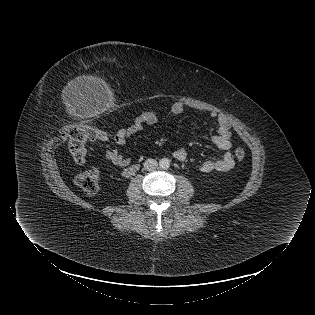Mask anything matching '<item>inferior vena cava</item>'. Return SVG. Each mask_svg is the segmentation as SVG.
<instances>
[{
  "label": "inferior vena cava",
  "mask_w": 315,
  "mask_h": 315,
  "mask_svg": "<svg viewBox=\"0 0 315 315\" xmlns=\"http://www.w3.org/2000/svg\"><path fill=\"white\" fill-rule=\"evenodd\" d=\"M158 167V162L155 159H147L144 162V169L146 171H154Z\"/></svg>",
  "instance_id": "inferior-vena-cava-1"
}]
</instances>
